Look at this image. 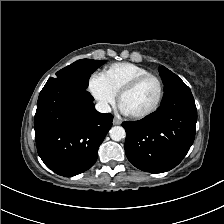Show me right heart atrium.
<instances>
[{"label": "right heart atrium", "instance_id": "d8ad5b80", "mask_svg": "<svg viewBox=\"0 0 224 224\" xmlns=\"http://www.w3.org/2000/svg\"><path fill=\"white\" fill-rule=\"evenodd\" d=\"M88 88L103 109L109 108L115 102V94L107 87L100 75L90 77Z\"/></svg>", "mask_w": 224, "mask_h": 224}]
</instances>
